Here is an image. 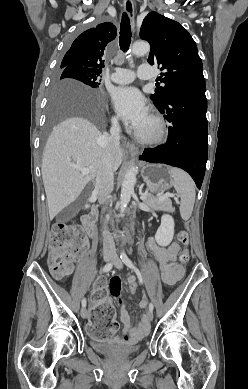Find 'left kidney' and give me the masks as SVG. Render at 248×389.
I'll return each mask as SVG.
<instances>
[{
	"label": "left kidney",
	"mask_w": 248,
	"mask_h": 389,
	"mask_svg": "<svg viewBox=\"0 0 248 389\" xmlns=\"http://www.w3.org/2000/svg\"><path fill=\"white\" fill-rule=\"evenodd\" d=\"M174 236V219L168 214L161 218V225L155 234V240L160 246H167L171 243Z\"/></svg>",
	"instance_id": "1"
}]
</instances>
